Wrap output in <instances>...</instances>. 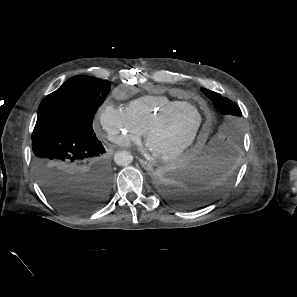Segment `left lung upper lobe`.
I'll use <instances>...</instances> for the list:
<instances>
[{"instance_id":"left-lung-upper-lobe-1","label":"left lung upper lobe","mask_w":297,"mask_h":297,"mask_svg":"<svg viewBox=\"0 0 297 297\" xmlns=\"http://www.w3.org/2000/svg\"><path fill=\"white\" fill-rule=\"evenodd\" d=\"M221 114L220 121L209 141L219 143L228 150H238L242 138L241 110L234 102L219 93L201 88Z\"/></svg>"}]
</instances>
